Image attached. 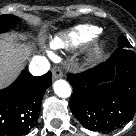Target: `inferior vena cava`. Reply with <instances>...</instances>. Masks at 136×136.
Returning <instances> with one entry per match:
<instances>
[{"label":"inferior vena cava","mask_w":136,"mask_h":136,"mask_svg":"<svg viewBox=\"0 0 136 136\" xmlns=\"http://www.w3.org/2000/svg\"><path fill=\"white\" fill-rule=\"evenodd\" d=\"M49 62L45 57L34 56L29 65V71L34 76H41L48 72Z\"/></svg>","instance_id":"obj_1"}]
</instances>
